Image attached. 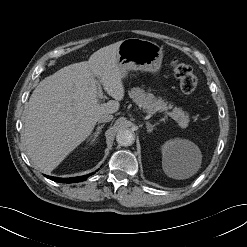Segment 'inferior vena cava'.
<instances>
[{"instance_id": "obj_1", "label": "inferior vena cava", "mask_w": 247, "mask_h": 247, "mask_svg": "<svg viewBox=\"0 0 247 247\" xmlns=\"http://www.w3.org/2000/svg\"><path fill=\"white\" fill-rule=\"evenodd\" d=\"M113 119V115L112 114H108V113H105V114H100L98 117H97V121L99 123H105V122H109Z\"/></svg>"}]
</instances>
